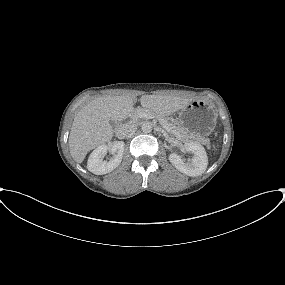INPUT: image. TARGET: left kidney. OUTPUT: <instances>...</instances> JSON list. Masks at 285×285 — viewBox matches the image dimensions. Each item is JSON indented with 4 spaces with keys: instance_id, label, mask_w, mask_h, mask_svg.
Masks as SVG:
<instances>
[{
    "instance_id": "obj_1",
    "label": "left kidney",
    "mask_w": 285,
    "mask_h": 285,
    "mask_svg": "<svg viewBox=\"0 0 285 285\" xmlns=\"http://www.w3.org/2000/svg\"><path fill=\"white\" fill-rule=\"evenodd\" d=\"M186 151L193 153L191 161L185 162L179 155L173 153L169 155V160L180 172L188 176H199L203 174L208 165V157L204 147L197 143H185Z\"/></svg>"
}]
</instances>
